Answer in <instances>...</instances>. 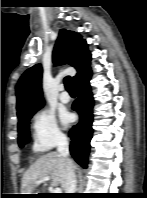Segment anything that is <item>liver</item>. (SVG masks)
<instances>
[{
  "instance_id": "obj_1",
  "label": "liver",
  "mask_w": 147,
  "mask_h": 198,
  "mask_svg": "<svg viewBox=\"0 0 147 198\" xmlns=\"http://www.w3.org/2000/svg\"><path fill=\"white\" fill-rule=\"evenodd\" d=\"M50 177L51 186L61 185L64 189L66 181V163L58 152H49L39 157L23 174L21 181V194H35L36 181ZM37 194V193H36Z\"/></svg>"
}]
</instances>
